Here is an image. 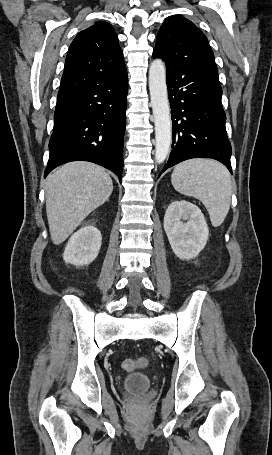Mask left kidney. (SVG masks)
Instances as JSON below:
<instances>
[{
	"label": "left kidney",
	"mask_w": 272,
	"mask_h": 455,
	"mask_svg": "<svg viewBox=\"0 0 272 455\" xmlns=\"http://www.w3.org/2000/svg\"><path fill=\"white\" fill-rule=\"evenodd\" d=\"M164 229L173 252L182 260L198 256L209 237L203 213L196 205L185 200L174 201L168 206Z\"/></svg>",
	"instance_id": "5707ae66"
}]
</instances>
